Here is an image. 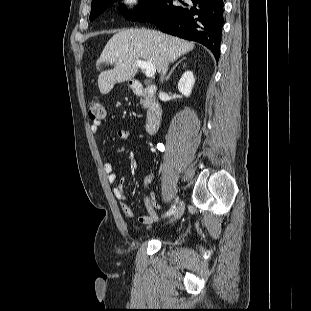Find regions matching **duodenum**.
Segmentation results:
<instances>
[{
  "label": "duodenum",
  "mask_w": 311,
  "mask_h": 311,
  "mask_svg": "<svg viewBox=\"0 0 311 311\" xmlns=\"http://www.w3.org/2000/svg\"><path fill=\"white\" fill-rule=\"evenodd\" d=\"M129 84L135 95L145 96L150 99V102L147 106L145 129L147 133L153 134L158 128L163 115L162 106L155 101L157 87L152 84L143 85L141 81L136 78L130 79Z\"/></svg>",
  "instance_id": "obj_1"
}]
</instances>
